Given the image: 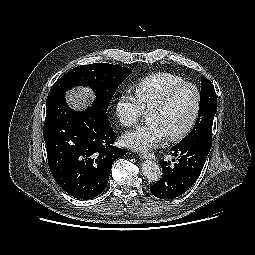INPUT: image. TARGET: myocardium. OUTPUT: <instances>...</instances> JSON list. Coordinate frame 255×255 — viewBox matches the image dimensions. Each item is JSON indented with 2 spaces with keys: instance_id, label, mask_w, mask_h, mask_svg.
Returning <instances> with one entry per match:
<instances>
[{
  "instance_id": "1",
  "label": "myocardium",
  "mask_w": 255,
  "mask_h": 255,
  "mask_svg": "<svg viewBox=\"0 0 255 255\" xmlns=\"http://www.w3.org/2000/svg\"><path fill=\"white\" fill-rule=\"evenodd\" d=\"M184 87H190L195 91V93H196L195 108H194V112L192 114V117H191L189 123L182 131H180L178 134H175V135L166 136L167 140L172 143L179 142V141L183 140L185 137H187L190 134V132L193 130V128L199 118L200 111H201V105H202V94H201L199 87L197 85H195L194 83L184 82V81L179 84H176V85L172 86L171 88H169L148 111V113H149L152 111H158V110L164 109L167 106V104L169 103L172 96L178 90H180Z\"/></svg>"
}]
</instances>
